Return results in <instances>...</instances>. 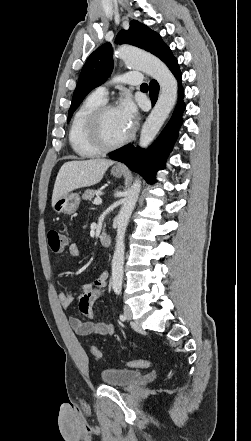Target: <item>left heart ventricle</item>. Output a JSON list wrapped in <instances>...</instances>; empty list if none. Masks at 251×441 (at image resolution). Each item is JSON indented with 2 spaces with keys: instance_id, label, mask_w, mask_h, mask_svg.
Returning a JSON list of instances; mask_svg holds the SVG:
<instances>
[{
  "instance_id": "1",
  "label": "left heart ventricle",
  "mask_w": 251,
  "mask_h": 441,
  "mask_svg": "<svg viewBox=\"0 0 251 441\" xmlns=\"http://www.w3.org/2000/svg\"><path fill=\"white\" fill-rule=\"evenodd\" d=\"M102 131L105 139L110 143L121 140L129 133L119 116L117 108L106 112L102 121Z\"/></svg>"
}]
</instances>
